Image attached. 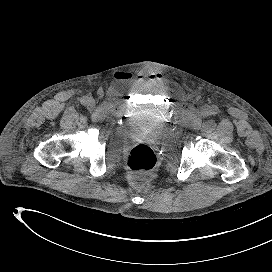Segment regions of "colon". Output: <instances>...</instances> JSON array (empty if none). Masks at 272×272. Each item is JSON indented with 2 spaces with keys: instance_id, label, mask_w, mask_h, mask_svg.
Listing matches in <instances>:
<instances>
[{
  "instance_id": "1",
  "label": "colon",
  "mask_w": 272,
  "mask_h": 272,
  "mask_svg": "<svg viewBox=\"0 0 272 272\" xmlns=\"http://www.w3.org/2000/svg\"><path fill=\"white\" fill-rule=\"evenodd\" d=\"M129 169L134 171H147L156 164V156L151 147L145 144L134 146L126 160Z\"/></svg>"
}]
</instances>
